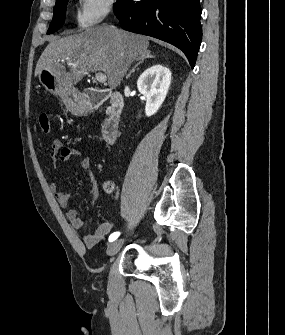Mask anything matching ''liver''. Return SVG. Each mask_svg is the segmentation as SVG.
<instances>
[{
	"mask_svg": "<svg viewBox=\"0 0 285 335\" xmlns=\"http://www.w3.org/2000/svg\"><path fill=\"white\" fill-rule=\"evenodd\" d=\"M148 48L149 42L144 36L112 26L90 28L75 36L51 40L37 62L35 74L38 76L40 70L49 68L61 78L65 64H69L71 70L63 80L71 88L82 82L86 74L103 72L109 88L116 90L131 64L150 54Z\"/></svg>",
	"mask_w": 285,
	"mask_h": 335,
	"instance_id": "liver-1",
	"label": "liver"
}]
</instances>
